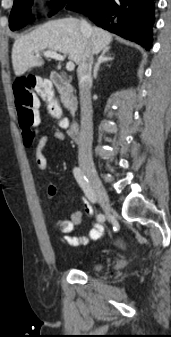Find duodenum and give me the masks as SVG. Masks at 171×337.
Here are the masks:
<instances>
[{
	"label": "duodenum",
	"mask_w": 171,
	"mask_h": 337,
	"mask_svg": "<svg viewBox=\"0 0 171 337\" xmlns=\"http://www.w3.org/2000/svg\"><path fill=\"white\" fill-rule=\"evenodd\" d=\"M50 77H51L52 83L57 89L66 91L68 93L71 92V81L67 76H64L57 72H52L50 74ZM68 134L70 138L73 139L74 141L81 140L80 127L77 123H72L68 126Z\"/></svg>",
	"instance_id": "410a0bca"
}]
</instances>
